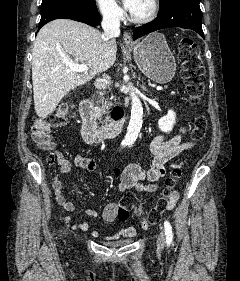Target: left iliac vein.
<instances>
[{
  "instance_id": "4c4485c4",
  "label": "left iliac vein",
  "mask_w": 240,
  "mask_h": 281,
  "mask_svg": "<svg viewBox=\"0 0 240 281\" xmlns=\"http://www.w3.org/2000/svg\"><path fill=\"white\" fill-rule=\"evenodd\" d=\"M165 243V232L161 230L158 239H157V248L158 250H161L164 247Z\"/></svg>"
}]
</instances>
